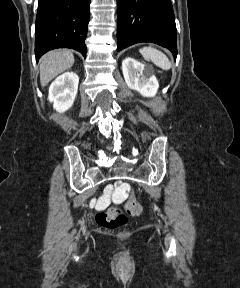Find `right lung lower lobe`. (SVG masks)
Masks as SVG:
<instances>
[{
    "mask_svg": "<svg viewBox=\"0 0 240 288\" xmlns=\"http://www.w3.org/2000/svg\"><path fill=\"white\" fill-rule=\"evenodd\" d=\"M91 0H39L35 24L38 60L55 48H71L86 57Z\"/></svg>",
    "mask_w": 240,
    "mask_h": 288,
    "instance_id": "98d812e1",
    "label": "right lung lower lobe"
}]
</instances>
